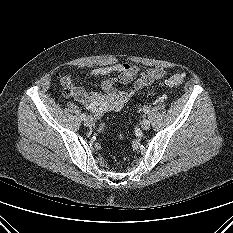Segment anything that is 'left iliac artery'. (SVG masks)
<instances>
[{"instance_id":"44dca946","label":"left iliac artery","mask_w":233,"mask_h":233,"mask_svg":"<svg viewBox=\"0 0 233 233\" xmlns=\"http://www.w3.org/2000/svg\"><path fill=\"white\" fill-rule=\"evenodd\" d=\"M143 110H144L145 113H148V112H149L148 107H145Z\"/></svg>"}]
</instances>
